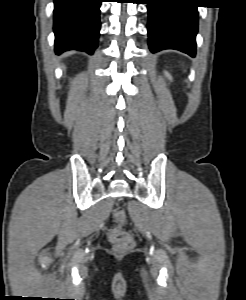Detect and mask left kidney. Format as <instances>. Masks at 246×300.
<instances>
[{
    "mask_svg": "<svg viewBox=\"0 0 246 300\" xmlns=\"http://www.w3.org/2000/svg\"><path fill=\"white\" fill-rule=\"evenodd\" d=\"M166 76H168L171 79V76L169 75V73L165 72Z\"/></svg>",
    "mask_w": 246,
    "mask_h": 300,
    "instance_id": "5707ae66",
    "label": "left kidney"
}]
</instances>
